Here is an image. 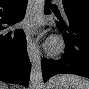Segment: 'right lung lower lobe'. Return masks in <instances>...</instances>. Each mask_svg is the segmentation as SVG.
<instances>
[{
	"instance_id": "right-lung-lower-lobe-1",
	"label": "right lung lower lobe",
	"mask_w": 89,
	"mask_h": 89,
	"mask_svg": "<svg viewBox=\"0 0 89 89\" xmlns=\"http://www.w3.org/2000/svg\"><path fill=\"white\" fill-rule=\"evenodd\" d=\"M6 10L1 23L13 25L23 19L27 0H0ZM0 23V80L28 85L31 64L27 54L26 38L22 30L6 32Z\"/></svg>"
}]
</instances>
